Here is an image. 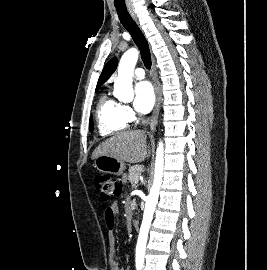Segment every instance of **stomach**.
<instances>
[{"label":"stomach","instance_id":"0dacf381","mask_svg":"<svg viewBox=\"0 0 267 270\" xmlns=\"http://www.w3.org/2000/svg\"><path fill=\"white\" fill-rule=\"evenodd\" d=\"M94 167L102 173H110L113 175H122L125 170V164L114 157L102 155L98 156L94 161Z\"/></svg>","mask_w":267,"mask_h":270}]
</instances>
